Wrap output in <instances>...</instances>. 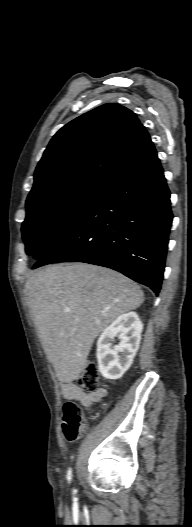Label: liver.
Returning a JSON list of instances; mask_svg holds the SVG:
<instances>
[{
	"label": "liver",
	"mask_w": 192,
	"mask_h": 527,
	"mask_svg": "<svg viewBox=\"0 0 192 527\" xmlns=\"http://www.w3.org/2000/svg\"><path fill=\"white\" fill-rule=\"evenodd\" d=\"M27 304L59 381L80 376L95 338L144 301L141 288L108 268L55 264L30 275Z\"/></svg>",
	"instance_id": "6515ba94"
}]
</instances>
